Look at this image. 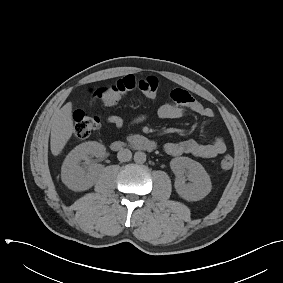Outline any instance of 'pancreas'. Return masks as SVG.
Here are the masks:
<instances>
[{"mask_svg":"<svg viewBox=\"0 0 283 283\" xmlns=\"http://www.w3.org/2000/svg\"><path fill=\"white\" fill-rule=\"evenodd\" d=\"M136 137H137V136H135V135H131V136H128L127 140H128V141H132V140H134Z\"/></svg>","mask_w":283,"mask_h":283,"instance_id":"pancreas-1","label":"pancreas"}]
</instances>
